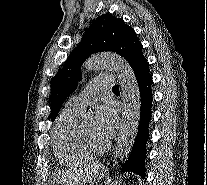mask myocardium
Listing matches in <instances>:
<instances>
[{
  "instance_id": "f54148a6",
  "label": "myocardium",
  "mask_w": 207,
  "mask_h": 185,
  "mask_svg": "<svg viewBox=\"0 0 207 185\" xmlns=\"http://www.w3.org/2000/svg\"><path fill=\"white\" fill-rule=\"evenodd\" d=\"M78 138L81 144L92 154H102L110 148L111 141L106 140L103 144L97 145L92 138L87 136L84 132L82 125L78 127Z\"/></svg>"
}]
</instances>
